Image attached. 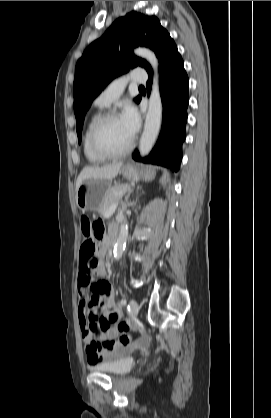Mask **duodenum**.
<instances>
[{
	"label": "duodenum",
	"instance_id": "duodenum-1",
	"mask_svg": "<svg viewBox=\"0 0 271 418\" xmlns=\"http://www.w3.org/2000/svg\"><path fill=\"white\" fill-rule=\"evenodd\" d=\"M117 229H113L110 234V248H112L117 240Z\"/></svg>",
	"mask_w": 271,
	"mask_h": 418
}]
</instances>
